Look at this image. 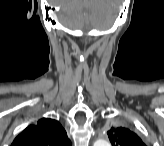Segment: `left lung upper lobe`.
<instances>
[{"mask_svg":"<svg viewBox=\"0 0 164 146\" xmlns=\"http://www.w3.org/2000/svg\"><path fill=\"white\" fill-rule=\"evenodd\" d=\"M107 134L115 146H145L137 134L124 127L111 128Z\"/></svg>","mask_w":164,"mask_h":146,"instance_id":"1","label":"left lung upper lobe"}]
</instances>
